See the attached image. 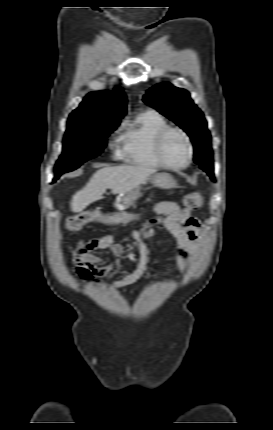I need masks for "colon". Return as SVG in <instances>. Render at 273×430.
<instances>
[{
	"label": "colon",
	"instance_id": "colon-1",
	"mask_svg": "<svg viewBox=\"0 0 273 430\" xmlns=\"http://www.w3.org/2000/svg\"><path fill=\"white\" fill-rule=\"evenodd\" d=\"M203 204V195L200 192L188 193L183 198L184 211L190 212L199 209ZM136 218L133 213H105L101 210H86L73 217H71L66 228L70 232L80 230L84 225L92 222L102 224H113L129 222ZM81 252H89L85 244L79 245L73 250V257L79 258ZM93 283V282H92Z\"/></svg>",
	"mask_w": 273,
	"mask_h": 430
}]
</instances>
